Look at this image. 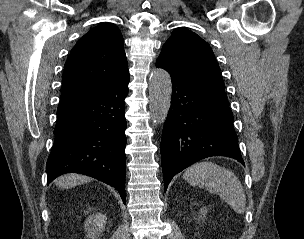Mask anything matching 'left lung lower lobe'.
<instances>
[{
  "mask_svg": "<svg viewBox=\"0 0 304 239\" xmlns=\"http://www.w3.org/2000/svg\"><path fill=\"white\" fill-rule=\"evenodd\" d=\"M170 75L171 107L161 139L165 191L174 175L206 157L227 156L244 165L227 99Z\"/></svg>",
  "mask_w": 304,
  "mask_h": 239,
  "instance_id": "obj_1",
  "label": "left lung lower lobe"
}]
</instances>
